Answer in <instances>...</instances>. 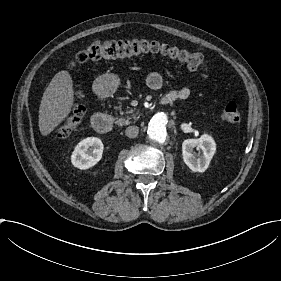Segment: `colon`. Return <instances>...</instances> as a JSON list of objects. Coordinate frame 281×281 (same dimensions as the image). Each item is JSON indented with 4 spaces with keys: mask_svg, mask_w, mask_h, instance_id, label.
<instances>
[{
    "mask_svg": "<svg viewBox=\"0 0 281 281\" xmlns=\"http://www.w3.org/2000/svg\"><path fill=\"white\" fill-rule=\"evenodd\" d=\"M146 54L158 55L173 61L185 62L191 67L204 71L207 60L199 53L190 52L168 44L148 40H123L95 42L80 50L70 61L69 68L108 58H125ZM221 117L227 123L238 125L241 116L232 102L224 103L220 108ZM62 133L61 135H63Z\"/></svg>",
    "mask_w": 281,
    "mask_h": 281,
    "instance_id": "1",
    "label": "colon"
}]
</instances>
